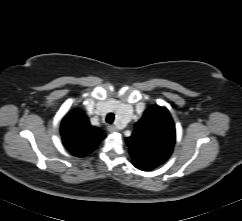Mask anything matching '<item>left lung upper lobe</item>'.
Segmentation results:
<instances>
[{"mask_svg":"<svg viewBox=\"0 0 242 221\" xmlns=\"http://www.w3.org/2000/svg\"><path fill=\"white\" fill-rule=\"evenodd\" d=\"M175 137L168 110L160 106L147 109L126 139L134 166L157 167L164 163L172 153Z\"/></svg>","mask_w":242,"mask_h":221,"instance_id":"1","label":"left lung upper lobe"}]
</instances>
